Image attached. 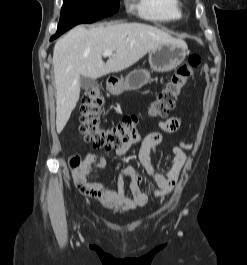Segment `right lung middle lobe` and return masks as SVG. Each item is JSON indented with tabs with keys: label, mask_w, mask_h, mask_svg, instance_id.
Listing matches in <instances>:
<instances>
[{
	"label": "right lung middle lobe",
	"mask_w": 247,
	"mask_h": 265,
	"mask_svg": "<svg viewBox=\"0 0 247 265\" xmlns=\"http://www.w3.org/2000/svg\"><path fill=\"white\" fill-rule=\"evenodd\" d=\"M119 9V0H64L60 21L74 18L100 19Z\"/></svg>",
	"instance_id": "1"
}]
</instances>
